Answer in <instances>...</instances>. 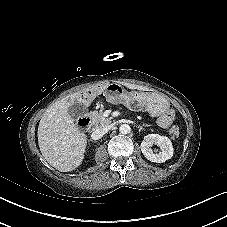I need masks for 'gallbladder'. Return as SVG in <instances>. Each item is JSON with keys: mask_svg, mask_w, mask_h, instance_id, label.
<instances>
[{"mask_svg": "<svg viewBox=\"0 0 227 227\" xmlns=\"http://www.w3.org/2000/svg\"><path fill=\"white\" fill-rule=\"evenodd\" d=\"M87 112V108L84 104L80 102H75L72 106L69 108V114L73 119H77L83 114Z\"/></svg>", "mask_w": 227, "mask_h": 227, "instance_id": "gallbladder-1", "label": "gallbladder"}]
</instances>
